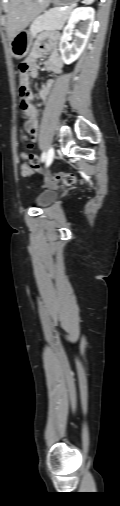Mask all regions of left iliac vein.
Listing matches in <instances>:
<instances>
[{"mask_svg": "<svg viewBox=\"0 0 120 506\" xmlns=\"http://www.w3.org/2000/svg\"><path fill=\"white\" fill-rule=\"evenodd\" d=\"M54 158V149L51 147L47 152L46 165L49 166Z\"/></svg>", "mask_w": 120, "mask_h": 506, "instance_id": "left-iliac-vein-1", "label": "left iliac vein"}]
</instances>
